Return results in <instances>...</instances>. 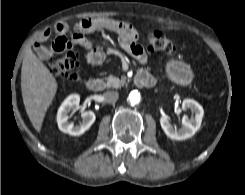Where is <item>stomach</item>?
I'll list each match as a JSON object with an SVG mask.
<instances>
[{
	"mask_svg": "<svg viewBox=\"0 0 245 195\" xmlns=\"http://www.w3.org/2000/svg\"><path fill=\"white\" fill-rule=\"evenodd\" d=\"M168 75L177 84H188L192 75L190 70L182 63L172 61L168 65Z\"/></svg>",
	"mask_w": 245,
	"mask_h": 195,
	"instance_id": "stomach-1",
	"label": "stomach"
}]
</instances>
